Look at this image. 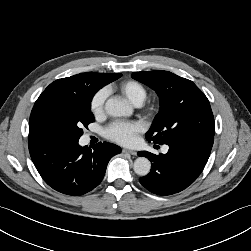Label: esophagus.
I'll use <instances>...</instances> for the list:
<instances>
[{
  "mask_svg": "<svg viewBox=\"0 0 251 251\" xmlns=\"http://www.w3.org/2000/svg\"><path fill=\"white\" fill-rule=\"evenodd\" d=\"M122 152L123 153H128V154H131V155H136L137 153H136V151H134V150H130V149H122Z\"/></svg>",
  "mask_w": 251,
  "mask_h": 251,
  "instance_id": "34e87169",
  "label": "esophagus"
}]
</instances>
